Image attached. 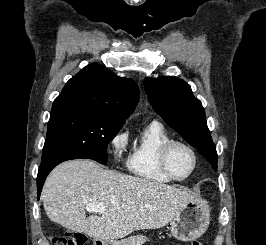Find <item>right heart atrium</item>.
Here are the masks:
<instances>
[{"label": "right heart atrium", "mask_w": 266, "mask_h": 245, "mask_svg": "<svg viewBox=\"0 0 266 245\" xmlns=\"http://www.w3.org/2000/svg\"><path fill=\"white\" fill-rule=\"evenodd\" d=\"M129 141L128 131L124 128L117 129L109 138V155L113 162H118L123 153L127 151Z\"/></svg>", "instance_id": "right-heart-atrium-1"}]
</instances>
